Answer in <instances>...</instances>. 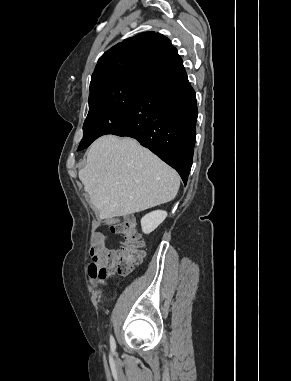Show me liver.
Returning <instances> with one entry per match:
<instances>
[{
    "label": "liver",
    "mask_w": 291,
    "mask_h": 381,
    "mask_svg": "<svg viewBox=\"0 0 291 381\" xmlns=\"http://www.w3.org/2000/svg\"><path fill=\"white\" fill-rule=\"evenodd\" d=\"M79 179L103 220L170 202L180 187L174 169L135 139L114 135L91 145Z\"/></svg>",
    "instance_id": "liver-1"
}]
</instances>
